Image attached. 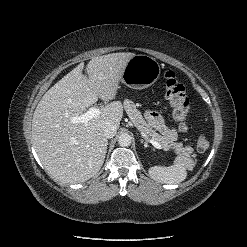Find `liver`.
<instances>
[{
	"label": "liver",
	"instance_id": "6515ba94",
	"mask_svg": "<svg viewBox=\"0 0 247 247\" xmlns=\"http://www.w3.org/2000/svg\"><path fill=\"white\" fill-rule=\"evenodd\" d=\"M134 53H111L92 58L88 77L79 64L52 86L38 103L32 119V142L37 155L55 179L64 183L85 182L102 167L108 141L103 134L107 123L118 128L123 105L113 101L87 124L72 123L100 98H116L119 83Z\"/></svg>",
	"mask_w": 247,
	"mask_h": 247
}]
</instances>
